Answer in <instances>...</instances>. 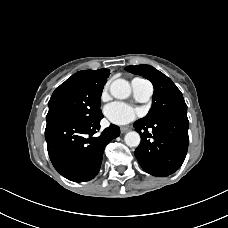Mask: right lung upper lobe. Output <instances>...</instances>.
<instances>
[{"instance_id": "1", "label": "right lung upper lobe", "mask_w": 228, "mask_h": 228, "mask_svg": "<svg viewBox=\"0 0 228 228\" xmlns=\"http://www.w3.org/2000/svg\"><path fill=\"white\" fill-rule=\"evenodd\" d=\"M109 69L83 70L75 73L71 78L81 80L86 83H95L109 76Z\"/></svg>"}]
</instances>
